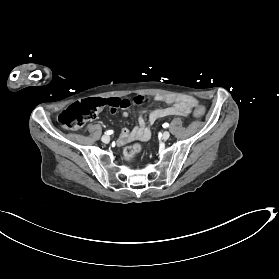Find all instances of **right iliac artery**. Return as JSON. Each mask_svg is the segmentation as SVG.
I'll return each mask as SVG.
<instances>
[{
	"label": "right iliac artery",
	"instance_id": "right-iliac-artery-1",
	"mask_svg": "<svg viewBox=\"0 0 279 279\" xmlns=\"http://www.w3.org/2000/svg\"><path fill=\"white\" fill-rule=\"evenodd\" d=\"M112 133H113L112 130H108V131L105 132V134H107V135H110V134H112Z\"/></svg>",
	"mask_w": 279,
	"mask_h": 279
}]
</instances>
